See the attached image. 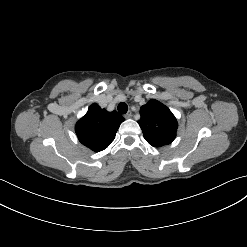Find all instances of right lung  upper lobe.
Masks as SVG:
<instances>
[{
	"instance_id": "obj_1",
	"label": "right lung upper lobe",
	"mask_w": 247,
	"mask_h": 247,
	"mask_svg": "<svg viewBox=\"0 0 247 247\" xmlns=\"http://www.w3.org/2000/svg\"><path fill=\"white\" fill-rule=\"evenodd\" d=\"M123 121L124 118L116 111L108 112L95 103L77 122L75 131L83 145L92 151L99 152L111 144Z\"/></svg>"
}]
</instances>
